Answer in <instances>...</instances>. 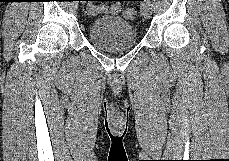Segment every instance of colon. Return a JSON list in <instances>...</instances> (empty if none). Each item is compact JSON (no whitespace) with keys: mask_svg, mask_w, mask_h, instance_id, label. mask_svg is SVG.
<instances>
[{"mask_svg":"<svg viewBox=\"0 0 229 161\" xmlns=\"http://www.w3.org/2000/svg\"><path fill=\"white\" fill-rule=\"evenodd\" d=\"M136 14H137V11L133 7H126L122 11V16L125 19H129V20L134 19L136 17Z\"/></svg>","mask_w":229,"mask_h":161,"instance_id":"1","label":"colon"}]
</instances>
